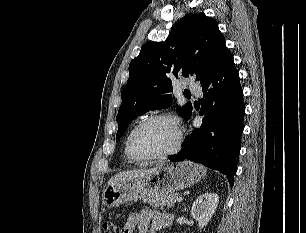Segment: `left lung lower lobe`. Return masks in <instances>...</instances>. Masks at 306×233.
Masks as SVG:
<instances>
[{
    "instance_id": "0a47b994",
    "label": "left lung lower lobe",
    "mask_w": 306,
    "mask_h": 233,
    "mask_svg": "<svg viewBox=\"0 0 306 233\" xmlns=\"http://www.w3.org/2000/svg\"><path fill=\"white\" fill-rule=\"evenodd\" d=\"M201 86L204 96L199 112L204 115L202 125L185 139L182 150L169 159H188L218 170L226 175L232 187L239 160L245 105L230 51L224 54Z\"/></svg>"
}]
</instances>
